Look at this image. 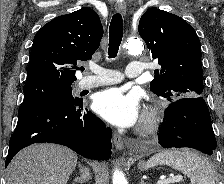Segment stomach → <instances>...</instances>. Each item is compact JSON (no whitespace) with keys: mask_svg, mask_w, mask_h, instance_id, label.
<instances>
[{"mask_svg":"<svg viewBox=\"0 0 224 184\" xmlns=\"http://www.w3.org/2000/svg\"><path fill=\"white\" fill-rule=\"evenodd\" d=\"M138 167L142 171L147 170V168H148L147 164L144 162L139 163Z\"/></svg>","mask_w":224,"mask_h":184,"instance_id":"0dacf381","label":"stomach"}]
</instances>
